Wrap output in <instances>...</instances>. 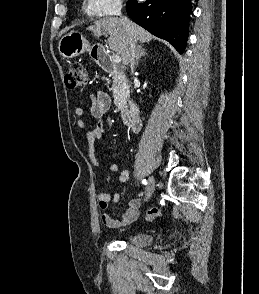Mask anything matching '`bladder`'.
<instances>
[{
	"instance_id": "1",
	"label": "bladder",
	"mask_w": 259,
	"mask_h": 294,
	"mask_svg": "<svg viewBox=\"0 0 259 294\" xmlns=\"http://www.w3.org/2000/svg\"><path fill=\"white\" fill-rule=\"evenodd\" d=\"M153 239V235L148 233H134L127 238V242L136 246H147Z\"/></svg>"
}]
</instances>
